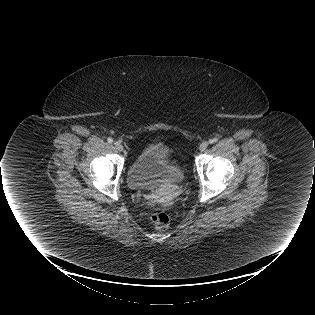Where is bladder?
I'll return each mask as SVG.
<instances>
[{
    "instance_id": "bladder-1",
    "label": "bladder",
    "mask_w": 315,
    "mask_h": 315,
    "mask_svg": "<svg viewBox=\"0 0 315 315\" xmlns=\"http://www.w3.org/2000/svg\"><path fill=\"white\" fill-rule=\"evenodd\" d=\"M184 179V170L162 143L143 149L127 172V183L136 190H151L166 183H181Z\"/></svg>"
}]
</instances>
